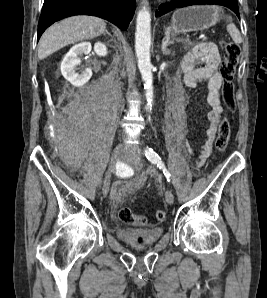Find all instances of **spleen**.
Masks as SVG:
<instances>
[{"instance_id":"obj_1","label":"spleen","mask_w":267,"mask_h":298,"mask_svg":"<svg viewBox=\"0 0 267 298\" xmlns=\"http://www.w3.org/2000/svg\"><path fill=\"white\" fill-rule=\"evenodd\" d=\"M227 32L236 44H240L242 42L240 32L233 23L227 25Z\"/></svg>"}]
</instances>
